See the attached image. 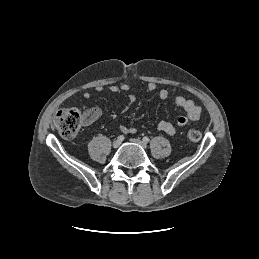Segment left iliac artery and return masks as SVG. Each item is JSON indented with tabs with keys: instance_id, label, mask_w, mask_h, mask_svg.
Instances as JSON below:
<instances>
[{
	"instance_id": "1",
	"label": "left iliac artery",
	"mask_w": 259,
	"mask_h": 259,
	"mask_svg": "<svg viewBox=\"0 0 259 259\" xmlns=\"http://www.w3.org/2000/svg\"><path fill=\"white\" fill-rule=\"evenodd\" d=\"M143 142L148 143L149 142V138L148 137H144L143 138Z\"/></svg>"
}]
</instances>
